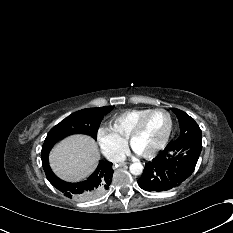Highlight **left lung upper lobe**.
<instances>
[{
	"label": "left lung upper lobe",
	"mask_w": 233,
	"mask_h": 233,
	"mask_svg": "<svg viewBox=\"0 0 233 233\" xmlns=\"http://www.w3.org/2000/svg\"><path fill=\"white\" fill-rule=\"evenodd\" d=\"M180 124V136L177 140L171 142L174 145H185L193 148L194 145L201 144V130L198 124L187 113L177 108H172Z\"/></svg>",
	"instance_id": "left-lung-upper-lobe-1"
}]
</instances>
